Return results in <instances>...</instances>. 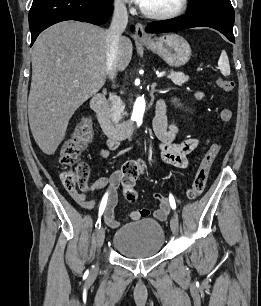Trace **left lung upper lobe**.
Returning a JSON list of instances; mask_svg holds the SVG:
<instances>
[{
    "instance_id": "1",
    "label": "left lung upper lobe",
    "mask_w": 261,
    "mask_h": 306,
    "mask_svg": "<svg viewBox=\"0 0 261 306\" xmlns=\"http://www.w3.org/2000/svg\"><path fill=\"white\" fill-rule=\"evenodd\" d=\"M231 5L230 0H189L187 12H198L205 9Z\"/></svg>"
}]
</instances>
